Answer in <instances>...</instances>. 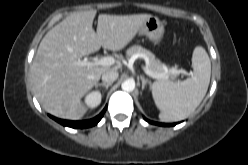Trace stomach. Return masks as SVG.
Wrapping results in <instances>:
<instances>
[{
    "instance_id": "0dacf381",
    "label": "stomach",
    "mask_w": 248,
    "mask_h": 165,
    "mask_svg": "<svg viewBox=\"0 0 248 165\" xmlns=\"http://www.w3.org/2000/svg\"><path fill=\"white\" fill-rule=\"evenodd\" d=\"M164 34L163 23L155 16L147 19L139 30V35H144L153 43L158 44Z\"/></svg>"
}]
</instances>
